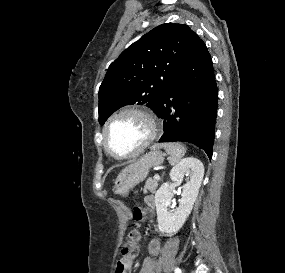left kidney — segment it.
Instances as JSON below:
<instances>
[{
  "label": "left kidney",
  "instance_id": "obj_1",
  "mask_svg": "<svg viewBox=\"0 0 285 273\" xmlns=\"http://www.w3.org/2000/svg\"><path fill=\"white\" fill-rule=\"evenodd\" d=\"M184 175L189 176V180L183 186L179 207L169 211L168 207L171 204L170 192L176 184L183 181ZM203 176L204 166L197 158H184L172 168L170 178L173 183H163L155 194L158 227L162 234L165 233L171 236L183 226L193 209Z\"/></svg>",
  "mask_w": 285,
  "mask_h": 273
}]
</instances>
